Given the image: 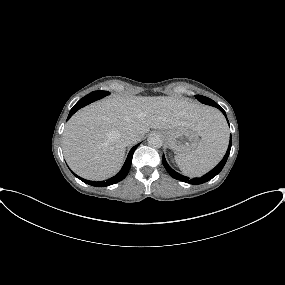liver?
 I'll use <instances>...</instances> for the list:
<instances>
[{"mask_svg": "<svg viewBox=\"0 0 285 285\" xmlns=\"http://www.w3.org/2000/svg\"><path fill=\"white\" fill-rule=\"evenodd\" d=\"M220 116L215 109L184 98L109 97L71 117L63 133V154L79 176L104 180L122 166L129 145L123 140L125 133L133 132L141 140L150 128L191 129L203 138L212 133Z\"/></svg>", "mask_w": 285, "mask_h": 285, "instance_id": "1", "label": "liver"}]
</instances>
